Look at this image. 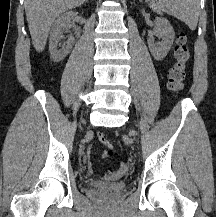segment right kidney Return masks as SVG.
Listing matches in <instances>:
<instances>
[{"label": "right kidney", "instance_id": "ca27d5eb", "mask_svg": "<svg viewBox=\"0 0 216 217\" xmlns=\"http://www.w3.org/2000/svg\"><path fill=\"white\" fill-rule=\"evenodd\" d=\"M75 14L72 11L66 12L58 17L51 28L49 38V50L54 62L62 61L71 51L74 44V37L70 36L61 49L58 47L59 41L63 38V32L74 26Z\"/></svg>", "mask_w": 216, "mask_h": 217}]
</instances>
